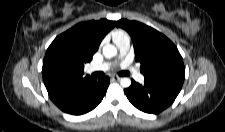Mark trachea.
<instances>
[{
    "instance_id": "trachea-1",
    "label": "trachea",
    "mask_w": 225,
    "mask_h": 132,
    "mask_svg": "<svg viewBox=\"0 0 225 132\" xmlns=\"http://www.w3.org/2000/svg\"><path fill=\"white\" fill-rule=\"evenodd\" d=\"M125 75H129V72L124 73ZM93 76L95 77H101L103 76V73L99 72V73H94Z\"/></svg>"
}]
</instances>
